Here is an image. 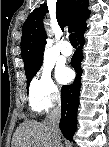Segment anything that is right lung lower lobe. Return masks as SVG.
Masks as SVG:
<instances>
[{
  "mask_svg": "<svg viewBox=\"0 0 109 147\" xmlns=\"http://www.w3.org/2000/svg\"><path fill=\"white\" fill-rule=\"evenodd\" d=\"M85 29H86V25L77 34L79 48L74 53L71 59V64L77 73L76 79L71 85L63 86L61 90L62 113H61V121L59 127L64 137L70 141L72 140L77 125V109L79 105V92H80L81 74H82V68L80 67L82 52L80 49L84 44L83 34Z\"/></svg>",
  "mask_w": 109,
  "mask_h": 147,
  "instance_id": "1",
  "label": "right lung lower lobe"
}]
</instances>
